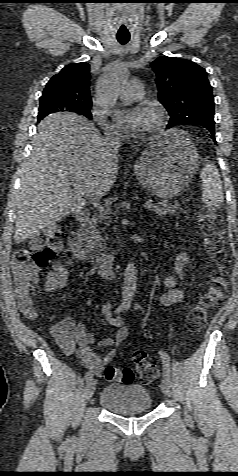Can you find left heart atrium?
<instances>
[{
    "instance_id": "39dd6f15",
    "label": "left heart atrium",
    "mask_w": 238,
    "mask_h": 476,
    "mask_svg": "<svg viewBox=\"0 0 238 476\" xmlns=\"http://www.w3.org/2000/svg\"><path fill=\"white\" fill-rule=\"evenodd\" d=\"M148 114V107H138L118 115L115 122L120 129L127 133L139 135L146 131Z\"/></svg>"
}]
</instances>
